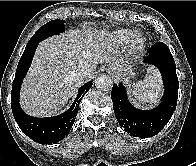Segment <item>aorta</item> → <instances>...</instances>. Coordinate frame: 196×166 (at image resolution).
Instances as JSON below:
<instances>
[{
  "mask_svg": "<svg viewBox=\"0 0 196 166\" xmlns=\"http://www.w3.org/2000/svg\"><path fill=\"white\" fill-rule=\"evenodd\" d=\"M112 79L110 76L102 74L95 79V87L101 91H108L112 88Z\"/></svg>",
  "mask_w": 196,
  "mask_h": 166,
  "instance_id": "762f6f07",
  "label": "aorta"
}]
</instances>
